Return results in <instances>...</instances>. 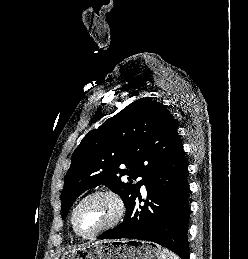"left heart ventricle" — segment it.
<instances>
[{
	"label": "left heart ventricle",
	"mask_w": 248,
	"mask_h": 259,
	"mask_svg": "<svg viewBox=\"0 0 248 259\" xmlns=\"http://www.w3.org/2000/svg\"><path fill=\"white\" fill-rule=\"evenodd\" d=\"M116 204L105 196L87 200L76 215V224L83 234H92L108 224L116 215Z\"/></svg>",
	"instance_id": "obj_1"
}]
</instances>
